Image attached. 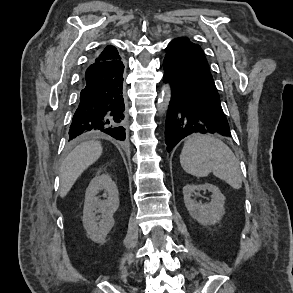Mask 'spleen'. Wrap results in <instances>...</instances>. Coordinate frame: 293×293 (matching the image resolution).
I'll return each mask as SVG.
<instances>
[{
  "instance_id": "obj_1",
  "label": "spleen",
  "mask_w": 293,
  "mask_h": 293,
  "mask_svg": "<svg viewBox=\"0 0 293 293\" xmlns=\"http://www.w3.org/2000/svg\"><path fill=\"white\" fill-rule=\"evenodd\" d=\"M180 163L193 176L205 177L212 172L232 188L242 187L236 156L223 141L214 136L197 134L189 137L184 143Z\"/></svg>"
}]
</instances>
